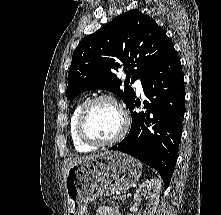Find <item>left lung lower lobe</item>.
I'll use <instances>...</instances> for the list:
<instances>
[{
    "label": "left lung lower lobe",
    "mask_w": 221,
    "mask_h": 215,
    "mask_svg": "<svg viewBox=\"0 0 221 215\" xmlns=\"http://www.w3.org/2000/svg\"><path fill=\"white\" fill-rule=\"evenodd\" d=\"M141 83L147 98L143 111H133L141 106L134 100L128 107L132 115L130 132L110 150L125 152L155 168L168 186L182 133L185 99L184 76L173 44Z\"/></svg>",
    "instance_id": "0a47b994"
}]
</instances>
